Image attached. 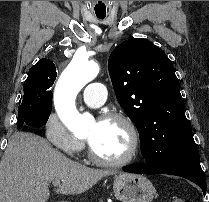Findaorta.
I'll list each match as a JSON object with an SVG mask.
<instances>
[{
  "label": "aorta",
  "instance_id": "obj_1",
  "mask_svg": "<svg viewBox=\"0 0 209 202\" xmlns=\"http://www.w3.org/2000/svg\"><path fill=\"white\" fill-rule=\"evenodd\" d=\"M99 71L100 67L96 62L76 53L56 84V111L64 125L74 134L85 133L94 122L90 114L78 112L75 98L88 82L96 78Z\"/></svg>",
  "mask_w": 209,
  "mask_h": 202
}]
</instances>
